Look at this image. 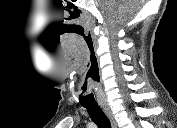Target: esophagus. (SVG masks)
Returning a JSON list of instances; mask_svg holds the SVG:
<instances>
[{
    "mask_svg": "<svg viewBox=\"0 0 177 128\" xmlns=\"http://www.w3.org/2000/svg\"><path fill=\"white\" fill-rule=\"evenodd\" d=\"M102 109L104 113L107 115V117L109 118L112 128H117L116 121L110 107L108 105H102Z\"/></svg>",
    "mask_w": 177,
    "mask_h": 128,
    "instance_id": "esophagus-1",
    "label": "esophagus"
}]
</instances>
